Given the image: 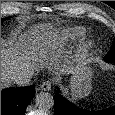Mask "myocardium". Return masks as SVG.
<instances>
[{"label":"myocardium","instance_id":"1","mask_svg":"<svg viewBox=\"0 0 115 115\" xmlns=\"http://www.w3.org/2000/svg\"><path fill=\"white\" fill-rule=\"evenodd\" d=\"M92 46H93V42H92V41H87V42H85V43L83 44L82 49H83L84 51H87V50H89L90 48H92Z\"/></svg>","mask_w":115,"mask_h":115}]
</instances>
